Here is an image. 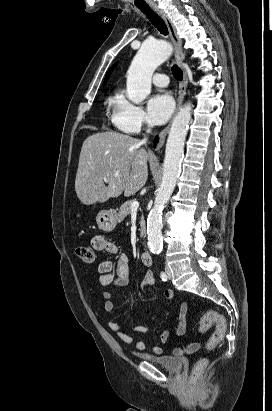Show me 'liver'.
Returning a JSON list of instances; mask_svg holds the SVG:
<instances>
[{"label": "liver", "mask_w": 272, "mask_h": 411, "mask_svg": "<svg viewBox=\"0 0 272 411\" xmlns=\"http://www.w3.org/2000/svg\"><path fill=\"white\" fill-rule=\"evenodd\" d=\"M141 145L137 138L116 132L89 136L81 148L75 179L79 200L91 205L122 192L126 197L138 192L147 181L150 157Z\"/></svg>", "instance_id": "6515ba94"}]
</instances>
